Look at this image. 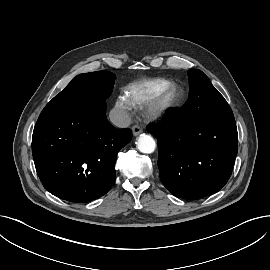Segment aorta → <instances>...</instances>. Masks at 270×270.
Instances as JSON below:
<instances>
[{
  "instance_id": "obj_1",
  "label": "aorta",
  "mask_w": 270,
  "mask_h": 270,
  "mask_svg": "<svg viewBox=\"0 0 270 270\" xmlns=\"http://www.w3.org/2000/svg\"><path fill=\"white\" fill-rule=\"evenodd\" d=\"M137 148L145 154L153 153L156 147L155 140L147 134H141L137 139Z\"/></svg>"
}]
</instances>
